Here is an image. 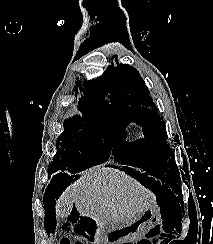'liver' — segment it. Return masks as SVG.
<instances>
[{
	"label": "liver",
	"mask_w": 213,
	"mask_h": 244,
	"mask_svg": "<svg viewBox=\"0 0 213 244\" xmlns=\"http://www.w3.org/2000/svg\"><path fill=\"white\" fill-rule=\"evenodd\" d=\"M73 204L83 216L110 227L154 206L155 199L139 182L123 171L93 167L81 173L56 200L55 213L67 218Z\"/></svg>",
	"instance_id": "obj_1"
}]
</instances>
